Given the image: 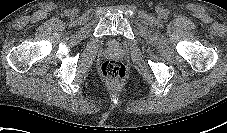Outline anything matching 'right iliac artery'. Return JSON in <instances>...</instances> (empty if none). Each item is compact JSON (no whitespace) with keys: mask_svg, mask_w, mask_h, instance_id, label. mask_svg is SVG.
I'll return each instance as SVG.
<instances>
[{"mask_svg":"<svg viewBox=\"0 0 227 133\" xmlns=\"http://www.w3.org/2000/svg\"><path fill=\"white\" fill-rule=\"evenodd\" d=\"M70 11L69 10H66L65 11V15H69Z\"/></svg>","mask_w":227,"mask_h":133,"instance_id":"1","label":"right iliac artery"}]
</instances>
